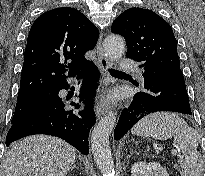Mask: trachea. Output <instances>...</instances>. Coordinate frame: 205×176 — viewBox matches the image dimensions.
<instances>
[{
  "label": "trachea",
  "instance_id": "obj_1",
  "mask_svg": "<svg viewBox=\"0 0 205 176\" xmlns=\"http://www.w3.org/2000/svg\"><path fill=\"white\" fill-rule=\"evenodd\" d=\"M109 72H110L111 74L122 73V72H120V71L113 70V69H110Z\"/></svg>",
  "mask_w": 205,
  "mask_h": 176
}]
</instances>
